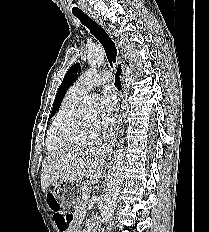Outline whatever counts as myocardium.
I'll use <instances>...</instances> for the list:
<instances>
[{
    "instance_id": "obj_1",
    "label": "myocardium",
    "mask_w": 209,
    "mask_h": 232,
    "mask_svg": "<svg viewBox=\"0 0 209 232\" xmlns=\"http://www.w3.org/2000/svg\"><path fill=\"white\" fill-rule=\"evenodd\" d=\"M99 132V127H90L85 123L83 110L81 107L71 112L60 128L63 137L69 140H85L95 136Z\"/></svg>"
}]
</instances>
